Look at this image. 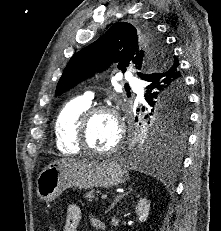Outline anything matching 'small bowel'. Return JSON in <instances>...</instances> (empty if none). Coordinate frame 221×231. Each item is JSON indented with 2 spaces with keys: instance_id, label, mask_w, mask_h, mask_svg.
Masks as SVG:
<instances>
[{
  "instance_id": "c3829d8e",
  "label": "small bowel",
  "mask_w": 221,
  "mask_h": 231,
  "mask_svg": "<svg viewBox=\"0 0 221 231\" xmlns=\"http://www.w3.org/2000/svg\"><path fill=\"white\" fill-rule=\"evenodd\" d=\"M80 218H81L80 207L75 203L70 204L66 210V219H65V224L63 226V231H77ZM90 224L97 231H105L104 222L98 218H91Z\"/></svg>"
}]
</instances>
